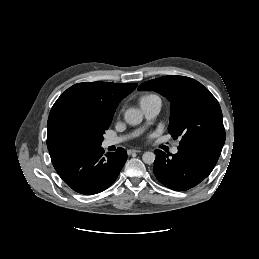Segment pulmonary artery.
<instances>
[{"mask_svg":"<svg viewBox=\"0 0 259 259\" xmlns=\"http://www.w3.org/2000/svg\"><path fill=\"white\" fill-rule=\"evenodd\" d=\"M140 107L145 114L147 119H153L155 118L161 109V101L158 99L150 100L145 103L140 104ZM129 136H120V137H115V138H107L104 140L103 145L105 147L116 145L120 142H123L126 140ZM178 152L177 147L172 148V153L176 154Z\"/></svg>","mask_w":259,"mask_h":259,"instance_id":"pulmonary-artery-1","label":"pulmonary artery"}]
</instances>
